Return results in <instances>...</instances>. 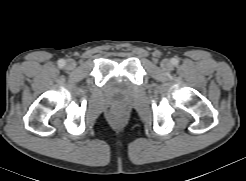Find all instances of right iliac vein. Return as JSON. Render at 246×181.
<instances>
[{
    "instance_id": "63e3f726",
    "label": "right iliac vein",
    "mask_w": 246,
    "mask_h": 181,
    "mask_svg": "<svg viewBox=\"0 0 246 181\" xmlns=\"http://www.w3.org/2000/svg\"><path fill=\"white\" fill-rule=\"evenodd\" d=\"M75 67H76V62H75L73 59L67 60V62H66V68H67L68 70H72V69H74Z\"/></svg>"
}]
</instances>
